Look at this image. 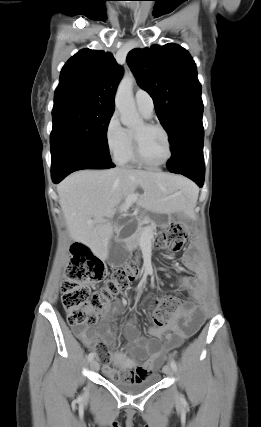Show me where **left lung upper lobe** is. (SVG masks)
I'll list each match as a JSON object with an SVG mask.
<instances>
[{
  "label": "left lung upper lobe",
  "mask_w": 261,
  "mask_h": 427,
  "mask_svg": "<svg viewBox=\"0 0 261 427\" xmlns=\"http://www.w3.org/2000/svg\"><path fill=\"white\" fill-rule=\"evenodd\" d=\"M127 62L138 85L151 95L170 141L183 126L202 121L201 85L187 50L173 43L136 48L129 52Z\"/></svg>",
  "instance_id": "1"
}]
</instances>
